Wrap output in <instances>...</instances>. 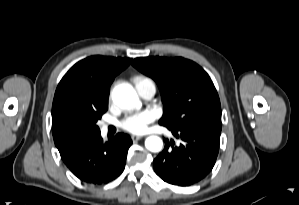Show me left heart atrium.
Wrapping results in <instances>:
<instances>
[{
	"mask_svg": "<svg viewBox=\"0 0 299 205\" xmlns=\"http://www.w3.org/2000/svg\"><path fill=\"white\" fill-rule=\"evenodd\" d=\"M154 120V114L150 111H143L126 117L121 122L122 129L131 133H142L147 125Z\"/></svg>",
	"mask_w": 299,
	"mask_h": 205,
	"instance_id": "1",
	"label": "left heart atrium"
}]
</instances>
